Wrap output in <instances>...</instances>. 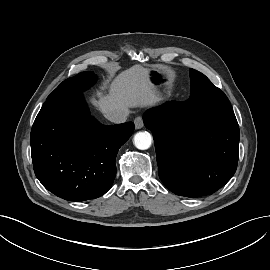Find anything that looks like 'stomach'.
Instances as JSON below:
<instances>
[{"label": "stomach", "mask_w": 270, "mask_h": 270, "mask_svg": "<svg viewBox=\"0 0 270 270\" xmlns=\"http://www.w3.org/2000/svg\"><path fill=\"white\" fill-rule=\"evenodd\" d=\"M149 70L150 78L154 81L156 90L160 94H165L170 85L173 74L171 70L162 65L152 66Z\"/></svg>", "instance_id": "stomach-1"}]
</instances>
